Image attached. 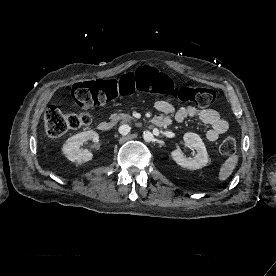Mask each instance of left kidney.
Returning a JSON list of instances; mask_svg holds the SVG:
<instances>
[{
    "label": "left kidney",
    "instance_id": "5707ae66",
    "mask_svg": "<svg viewBox=\"0 0 276 276\" xmlns=\"http://www.w3.org/2000/svg\"><path fill=\"white\" fill-rule=\"evenodd\" d=\"M184 141L193 149L196 150L194 157H186L180 150L175 149L171 152L173 160L183 168L196 170L206 166L209 162L206 147L196 133L188 132L183 137Z\"/></svg>",
    "mask_w": 276,
    "mask_h": 276
}]
</instances>
